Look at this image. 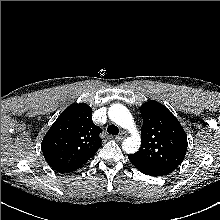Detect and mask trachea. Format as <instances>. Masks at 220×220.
Here are the masks:
<instances>
[{"label":"trachea","instance_id":"obj_1","mask_svg":"<svg viewBox=\"0 0 220 220\" xmlns=\"http://www.w3.org/2000/svg\"><path fill=\"white\" fill-rule=\"evenodd\" d=\"M107 132H108L109 134H112V135H118V134H119V129H118V127L115 126V125H110V126H108V128H107Z\"/></svg>","mask_w":220,"mask_h":220}]
</instances>
